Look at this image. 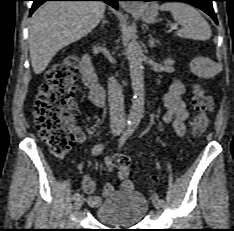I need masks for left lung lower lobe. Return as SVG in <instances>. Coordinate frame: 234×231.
Segmentation results:
<instances>
[{
	"mask_svg": "<svg viewBox=\"0 0 234 231\" xmlns=\"http://www.w3.org/2000/svg\"><path fill=\"white\" fill-rule=\"evenodd\" d=\"M140 1H182V2H186V3H189L195 7L203 10L204 12H206L208 15H210L213 18L215 23H218L216 15H215L213 7H212V1H214V0H140Z\"/></svg>",
	"mask_w": 234,
	"mask_h": 231,
	"instance_id": "left-lung-lower-lobe-1",
	"label": "left lung lower lobe"
}]
</instances>
